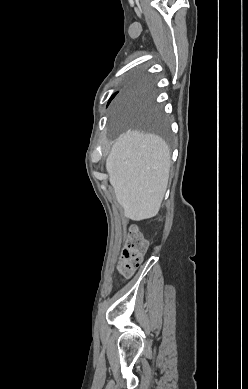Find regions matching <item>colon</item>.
<instances>
[{
	"label": "colon",
	"instance_id": "colon-1",
	"mask_svg": "<svg viewBox=\"0 0 248 389\" xmlns=\"http://www.w3.org/2000/svg\"><path fill=\"white\" fill-rule=\"evenodd\" d=\"M146 248L147 241L137 227H132L118 265V271L121 276L128 277L134 273L141 263Z\"/></svg>",
	"mask_w": 248,
	"mask_h": 389
}]
</instances>
